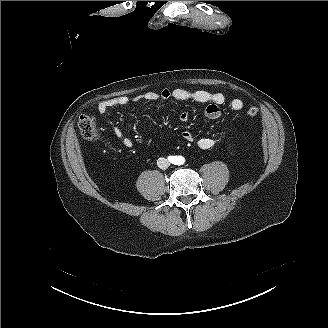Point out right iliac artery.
<instances>
[{
    "label": "right iliac artery",
    "instance_id": "obj_1",
    "mask_svg": "<svg viewBox=\"0 0 328 328\" xmlns=\"http://www.w3.org/2000/svg\"><path fill=\"white\" fill-rule=\"evenodd\" d=\"M174 157L170 156L169 159H173Z\"/></svg>",
    "mask_w": 328,
    "mask_h": 328
}]
</instances>
